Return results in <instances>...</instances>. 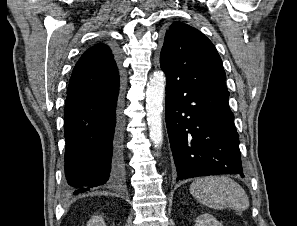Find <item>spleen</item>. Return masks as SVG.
I'll list each match as a JSON object with an SVG mask.
<instances>
[{
	"label": "spleen",
	"mask_w": 297,
	"mask_h": 226,
	"mask_svg": "<svg viewBox=\"0 0 297 226\" xmlns=\"http://www.w3.org/2000/svg\"><path fill=\"white\" fill-rule=\"evenodd\" d=\"M190 193L198 202L213 209L229 207L244 211L249 207L244 189L227 176L198 178L190 185Z\"/></svg>",
	"instance_id": "spleen-1"
}]
</instances>
